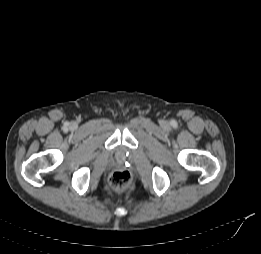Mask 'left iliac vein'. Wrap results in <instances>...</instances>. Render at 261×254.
I'll return each mask as SVG.
<instances>
[{
	"mask_svg": "<svg viewBox=\"0 0 261 254\" xmlns=\"http://www.w3.org/2000/svg\"><path fill=\"white\" fill-rule=\"evenodd\" d=\"M164 126H168V122H164Z\"/></svg>",
	"mask_w": 261,
	"mask_h": 254,
	"instance_id": "left-iliac-vein-1",
	"label": "left iliac vein"
}]
</instances>
